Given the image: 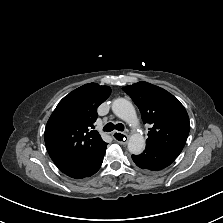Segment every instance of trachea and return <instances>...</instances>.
Returning <instances> with one entry per match:
<instances>
[{"mask_svg": "<svg viewBox=\"0 0 223 223\" xmlns=\"http://www.w3.org/2000/svg\"><path fill=\"white\" fill-rule=\"evenodd\" d=\"M114 129H116L118 131H124V125L122 123H118V124L114 125L113 123L110 122L104 126L103 131L111 132Z\"/></svg>", "mask_w": 223, "mask_h": 223, "instance_id": "trachea-1", "label": "trachea"}]
</instances>
